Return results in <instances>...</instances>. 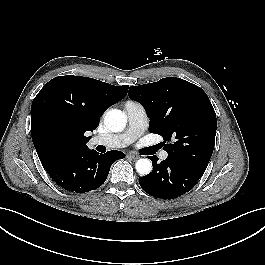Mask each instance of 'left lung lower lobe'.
Returning a JSON list of instances; mask_svg holds the SVG:
<instances>
[{
    "mask_svg": "<svg viewBox=\"0 0 265 265\" xmlns=\"http://www.w3.org/2000/svg\"><path fill=\"white\" fill-rule=\"evenodd\" d=\"M153 171L139 178L142 189L155 198L171 199L190 191L204 172L169 158L157 163V156H150Z\"/></svg>",
    "mask_w": 265,
    "mask_h": 265,
    "instance_id": "obj_1",
    "label": "left lung lower lobe"
}]
</instances>
